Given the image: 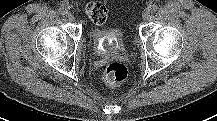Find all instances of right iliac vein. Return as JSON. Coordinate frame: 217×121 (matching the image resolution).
<instances>
[{"label": "right iliac vein", "mask_w": 217, "mask_h": 121, "mask_svg": "<svg viewBox=\"0 0 217 121\" xmlns=\"http://www.w3.org/2000/svg\"><path fill=\"white\" fill-rule=\"evenodd\" d=\"M67 17H68V20L71 21V22H73L75 20V17H74V15L72 13H68Z\"/></svg>", "instance_id": "1"}]
</instances>
